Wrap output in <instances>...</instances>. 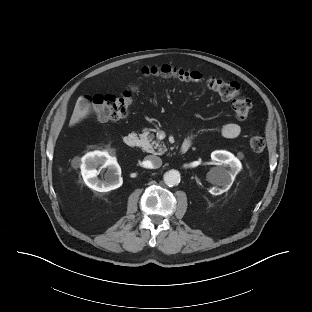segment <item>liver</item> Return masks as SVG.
<instances>
[{
  "label": "liver",
  "instance_id": "1",
  "mask_svg": "<svg viewBox=\"0 0 312 312\" xmlns=\"http://www.w3.org/2000/svg\"><path fill=\"white\" fill-rule=\"evenodd\" d=\"M84 100L83 97H80L75 105L73 114L71 116L69 126H74L79 123L81 120L86 118L89 115V105L85 102L84 105L81 104V101Z\"/></svg>",
  "mask_w": 312,
  "mask_h": 312
}]
</instances>
